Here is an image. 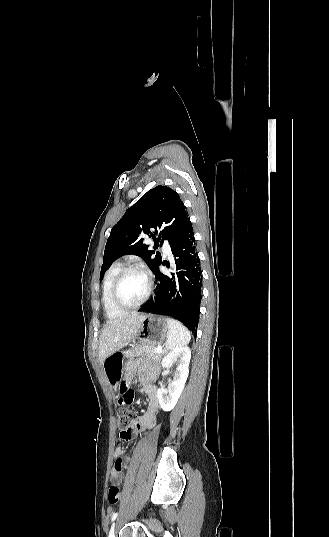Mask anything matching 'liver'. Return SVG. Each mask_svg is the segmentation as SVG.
<instances>
[{"label":"liver","mask_w":329,"mask_h":537,"mask_svg":"<svg viewBox=\"0 0 329 537\" xmlns=\"http://www.w3.org/2000/svg\"><path fill=\"white\" fill-rule=\"evenodd\" d=\"M144 317L134 313L124 318L108 320L100 334L98 360H104L126 346L136 336Z\"/></svg>","instance_id":"obj_1"}]
</instances>
